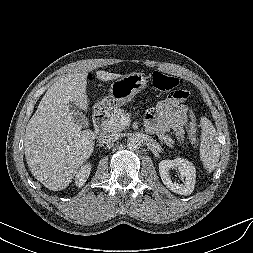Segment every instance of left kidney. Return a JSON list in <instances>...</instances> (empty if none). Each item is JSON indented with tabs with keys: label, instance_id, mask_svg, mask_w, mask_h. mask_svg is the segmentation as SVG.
Returning a JSON list of instances; mask_svg holds the SVG:
<instances>
[{
	"label": "left kidney",
	"instance_id": "1",
	"mask_svg": "<svg viewBox=\"0 0 253 253\" xmlns=\"http://www.w3.org/2000/svg\"><path fill=\"white\" fill-rule=\"evenodd\" d=\"M176 168L180 172L182 183L171 180L170 169ZM159 173L163 184L172 192L180 195H190L195 186L196 170L195 167L186 159L176 158L174 160H162L159 163Z\"/></svg>",
	"mask_w": 253,
	"mask_h": 253
}]
</instances>
